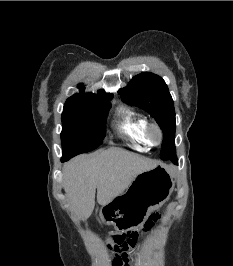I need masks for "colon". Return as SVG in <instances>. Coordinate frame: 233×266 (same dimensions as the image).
Here are the masks:
<instances>
[{
    "mask_svg": "<svg viewBox=\"0 0 233 266\" xmlns=\"http://www.w3.org/2000/svg\"><path fill=\"white\" fill-rule=\"evenodd\" d=\"M160 214L158 212L152 213L144 223V229L149 231L153 228L155 223L160 219ZM137 232H125L115 234L112 238V243L109 244V249L116 253L115 259H119L121 265L129 266V258L127 251L132 249L136 244ZM115 263V262H114Z\"/></svg>",
    "mask_w": 233,
    "mask_h": 266,
    "instance_id": "colon-1",
    "label": "colon"
}]
</instances>
